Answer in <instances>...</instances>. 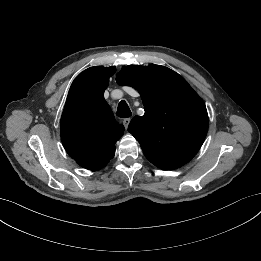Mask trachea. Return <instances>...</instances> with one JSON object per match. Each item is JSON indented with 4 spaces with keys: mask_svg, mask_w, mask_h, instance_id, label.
<instances>
[{
    "mask_svg": "<svg viewBox=\"0 0 261 261\" xmlns=\"http://www.w3.org/2000/svg\"><path fill=\"white\" fill-rule=\"evenodd\" d=\"M116 115L120 118H128L132 115L130 108L125 100L120 101Z\"/></svg>",
    "mask_w": 261,
    "mask_h": 261,
    "instance_id": "1",
    "label": "trachea"
}]
</instances>
